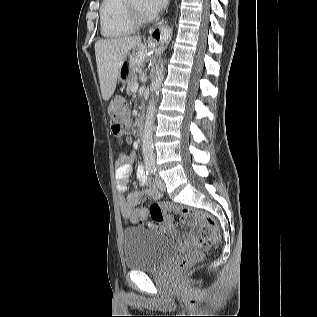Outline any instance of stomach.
I'll use <instances>...</instances> for the list:
<instances>
[{
    "instance_id": "1",
    "label": "stomach",
    "mask_w": 317,
    "mask_h": 317,
    "mask_svg": "<svg viewBox=\"0 0 317 317\" xmlns=\"http://www.w3.org/2000/svg\"><path fill=\"white\" fill-rule=\"evenodd\" d=\"M143 62V55L133 54L123 56V65L117 69L114 82V90L118 94H128L126 88L129 86L132 72H138V66Z\"/></svg>"
}]
</instances>
